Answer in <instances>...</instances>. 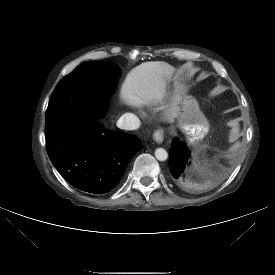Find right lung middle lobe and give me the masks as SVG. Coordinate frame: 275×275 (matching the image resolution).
Segmentation results:
<instances>
[{
    "label": "right lung middle lobe",
    "instance_id": "obj_1",
    "mask_svg": "<svg viewBox=\"0 0 275 275\" xmlns=\"http://www.w3.org/2000/svg\"><path fill=\"white\" fill-rule=\"evenodd\" d=\"M118 70L104 62H86L65 76L54 89L46 111V131L82 117L100 118L107 108L103 88Z\"/></svg>",
    "mask_w": 275,
    "mask_h": 275
}]
</instances>
